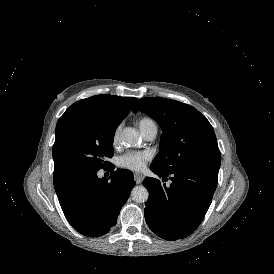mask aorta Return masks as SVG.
Returning <instances> with one entry per match:
<instances>
[{"instance_id": "1", "label": "aorta", "mask_w": 274, "mask_h": 274, "mask_svg": "<svg viewBox=\"0 0 274 274\" xmlns=\"http://www.w3.org/2000/svg\"><path fill=\"white\" fill-rule=\"evenodd\" d=\"M121 140L126 146H137L140 141L138 133L133 128H125L121 135ZM132 199L137 203L146 202L149 192L144 186H136L131 192Z\"/></svg>"}]
</instances>
